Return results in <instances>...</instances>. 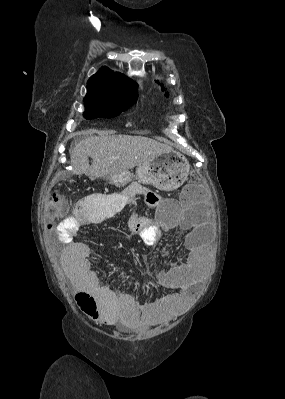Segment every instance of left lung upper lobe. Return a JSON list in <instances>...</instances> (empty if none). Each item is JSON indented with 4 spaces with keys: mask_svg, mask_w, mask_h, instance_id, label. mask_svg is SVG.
Here are the masks:
<instances>
[{
    "mask_svg": "<svg viewBox=\"0 0 285 399\" xmlns=\"http://www.w3.org/2000/svg\"><path fill=\"white\" fill-rule=\"evenodd\" d=\"M161 86H163V84H161ZM162 90H164V88H162ZM166 96L168 97V93H166Z\"/></svg>",
    "mask_w": 285,
    "mask_h": 399,
    "instance_id": "obj_1",
    "label": "left lung upper lobe"
}]
</instances>
